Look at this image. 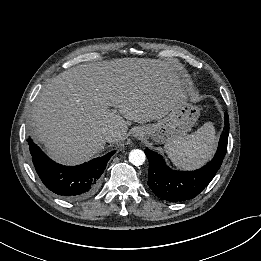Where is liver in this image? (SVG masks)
<instances>
[{
  "instance_id": "liver-1",
  "label": "liver",
  "mask_w": 261,
  "mask_h": 261,
  "mask_svg": "<svg viewBox=\"0 0 261 261\" xmlns=\"http://www.w3.org/2000/svg\"><path fill=\"white\" fill-rule=\"evenodd\" d=\"M178 65L159 59L120 58L81 64L50 79L34 101L30 127L55 161L82 163L106 144L105 130L125 139L128 121L166 116L186 99Z\"/></svg>"
}]
</instances>
